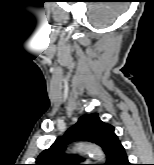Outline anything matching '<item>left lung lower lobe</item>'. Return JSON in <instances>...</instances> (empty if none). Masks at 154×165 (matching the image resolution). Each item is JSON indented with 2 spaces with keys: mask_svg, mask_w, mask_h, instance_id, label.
I'll use <instances>...</instances> for the list:
<instances>
[{
  "mask_svg": "<svg viewBox=\"0 0 154 165\" xmlns=\"http://www.w3.org/2000/svg\"><path fill=\"white\" fill-rule=\"evenodd\" d=\"M112 165H130L123 146L117 153L114 163Z\"/></svg>",
  "mask_w": 154,
  "mask_h": 165,
  "instance_id": "1",
  "label": "left lung lower lobe"
}]
</instances>
